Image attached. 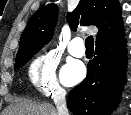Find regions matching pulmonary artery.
<instances>
[{"label": "pulmonary artery", "mask_w": 131, "mask_h": 115, "mask_svg": "<svg viewBox=\"0 0 131 115\" xmlns=\"http://www.w3.org/2000/svg\"><path fill=\"white\" fill-rule=\"evenodd\" d=\"M69 53L74 57H82L85 54L82 39L79 37L73 38L68 45Z\"/></svg>", "instance_id": "pulmonary-artery-1"}]
</instances>
